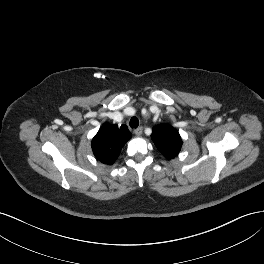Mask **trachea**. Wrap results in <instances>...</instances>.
<instances>
[{
  "label": "trachea",
  "mask_w": 264,
  "mask_h": 264,
  "mask_svg": "<svg viewBox=\"0 0 264 264\" xmlns=\"http://www.w3.org/2000/svg\"><path fill=\"white\" fill-rule=\"evenodd\" d=\"M130 126L132 128H137L139 126V120L137 117L134 116L130 119Z\"/></svg>",
  "instance_id": "1"
}]
</instances>
